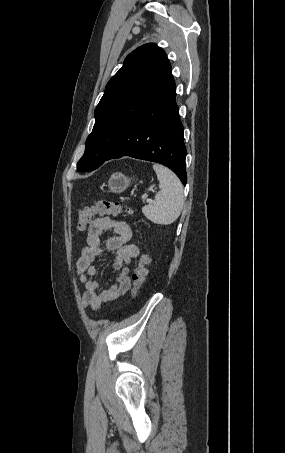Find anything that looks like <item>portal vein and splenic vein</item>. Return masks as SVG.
Returning <instances> with one entry per match:
<instances>
[{
    "instance_id": "1",
    "label": "portal vein and splenic vein",
    "mask_w": 285,
    "mask_h": 453,
    "mask_svg": "<svg viewBox=\"0 0 285 453\" xmlns=\"http://www.w3.org/2000/svg\"><path fill=\"white\" fill-rule=\"evenodd\" d=\"M149 190L153 191V187H151ZM144 198V197H143ZM145 199V198H144ZM147 202H151L152 200L151 199H146Z\"/></svg>"
}]
</instances>
